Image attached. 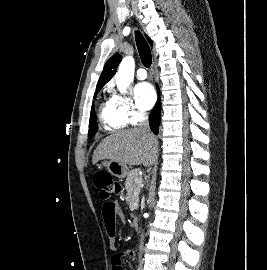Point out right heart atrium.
Masks as SVG:
<instances>
[{
    "mask_svg": "<svg viewBox=\"0 0 267 270\" xmlns=\"http://www.w3.org/2000/svg\"><path fill=\"white\" fill-rule=\"evenodd\" d=\"M110 101L118 116L128 124H136L144 117V113L138 110L131 99L125 95L112 90Z\"/></svg>",
    "mask_w": 267,
    "mask_h": 270,
    "instance_id": "right-heart-atrium-1",
    "label": "right heart atrium"
}]
</instances>
